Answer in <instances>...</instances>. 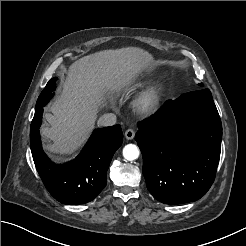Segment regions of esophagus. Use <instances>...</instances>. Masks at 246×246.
I'll list each match as a JSON object with an SVG mask.
<instances>
[{
    "instance_id": "esophagus-1",
    "label": "esophagus",
    "mask_w": 246,
    "mask_h": 246,
    "mask_svg": "<svg viewBox=\"0 0 246 246\" xmlns=\"http://www.w3.org/2000/svg\"><path fill=\"white\" fill-rule=\"evenodd\" d=\"M124 135L127 140H132L135 137V131L133 129H128L125 131Z\"/></svg>"
}]
</instances>
